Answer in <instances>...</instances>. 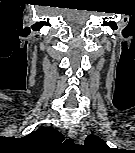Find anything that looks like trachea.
I'll list each match as a JSON object with an SVG mask.
<instances>
[{
	"mask_svg": "<svg viewBox=\"0 0 135 153\" xmlns=\"http://www.w3.org/2000/svg\"><path fill=\"white\" fill-rule=\"evenodd\" d=\"M65 143L66 144H73V139H67Z\"/></svg>",
	"mask_w": 135,
	"mask_h": 153,
	"instance_id": "trachea-1",
	"label": "trachea"
}]
</instances>
